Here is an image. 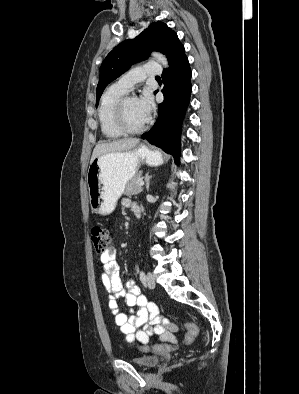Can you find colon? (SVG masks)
<instances>
[{"instance_id": "obj_1", "label": "colon", "mask_w": 299, "mask_h": 394, "mask_svg": "<svg viewBox=\"0 0 299 394\" xmlns=\"http://www.w3.org/2000/svg\"><path fill=\"white\" fill-rule=\"evenodd\" d=\"M90 236H91V241H92L94 250L97 253H103L108 249V247L110 245L111 237H110L108 229L105 226L100 225V224H96V225L92 226V228L90 230ZM185 327L187 330V334L184 338V343L191 344L199 333V327L196 326L195 324H192V323H186ZM204 340L205 341L207 340V335H205ZM154 348L164 349L166 347L165 346H155Z\"/></svg>"}]
</instances>
